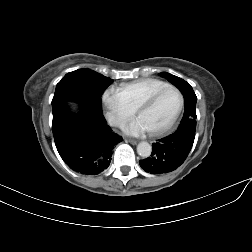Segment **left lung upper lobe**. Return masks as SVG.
<instances>
[{"instance_id":"obj_1","label":"left lung upper lobe","mask_w":252,"mask_h":252,"mask_svg":"<svg viewBox=\"0 0 252 252\" xmlns=\"http://www.w3.org/2000/svg\"><path fill=\"white\" fill-rule=\"evenodd\" d=\"M160 75L166 77L168 81L174 84L182 93H184L187 90L193 91L192 87L185 80L177 76H174L166 72H162Z\"/></svg>"}]
</instances>
